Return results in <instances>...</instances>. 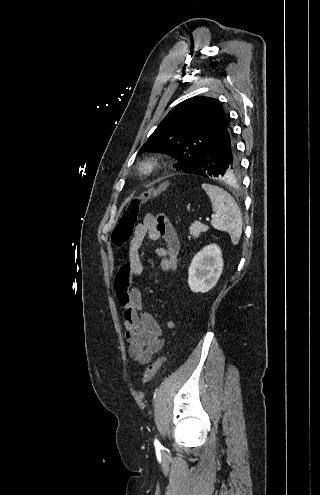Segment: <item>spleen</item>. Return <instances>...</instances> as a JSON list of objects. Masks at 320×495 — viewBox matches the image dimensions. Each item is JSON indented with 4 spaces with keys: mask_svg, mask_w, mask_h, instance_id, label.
<instances>
[{
    "mask_svg": "<svg viewBox=\"0 0 320 495\" xmlns=\"http://www.w3.org/2000/svg\"><path fill=\"white\" fill-rule=\"evenodd\" d=\"M202 188L209 196L216 214L211 225L219 231L229 233L232 244L237 245L242 234V217L234 198L215 185L202 184Z\"/></svg>",
    "mask_w": 320,
    "mask_h": 495,
    "instance_id": "3e777b00",
    "label": "spleen"
}]
</instances>
